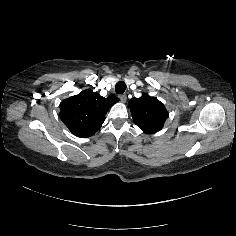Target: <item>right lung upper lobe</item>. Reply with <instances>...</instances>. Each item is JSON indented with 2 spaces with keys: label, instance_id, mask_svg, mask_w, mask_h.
<instances>
[{
  "label": "right lung upper lobe",
  "instance_id": "right-lung-upper-lobe-1",
  "mask_svg": "<svg viewBox=\"0 0 236 236\" xmlns=\"http://www.w3.org/2000/svg\"><path fill=\"white\" fill-rule=\"evenodd\" d=\"M117 102L113 94L104 98L87 89L61 102L60 118L74 135L90 137L99 130L107 111Z\"/></svg>",
  "mask_w": 236,
  "mask_h": 236
}]
</instances>
